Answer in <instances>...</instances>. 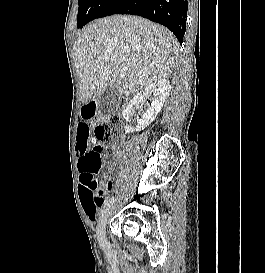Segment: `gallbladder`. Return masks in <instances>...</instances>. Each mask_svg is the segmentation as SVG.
Returning <instances> with one entry per match:
<instances>
[{
    "label": "gallbladder",
    "mask_w": 265,
    "mask_h": 273,
    "mask_svg": "<svg viewBox=\"0 0 265 273\" xmlns=\"http://www.w3.org/2000/svg\"><path fill=\"white\" fill-rule=\"evenodd\" d=\"M119 95L115 85L110 86L99 98L100 111L108 114L116 110L120 104Z\"/></svg>",
    "instance_id": "obj_1"
}]
</instances>
